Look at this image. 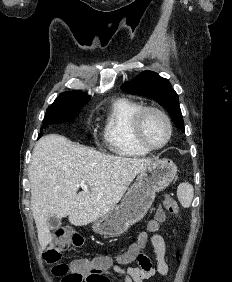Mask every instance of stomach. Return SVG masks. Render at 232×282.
I'll return each mask as SVG.
<instances>
[{"instance_id": "1", "label": "stomach", "mask_w": 232, "mask_h": 282, "mask_svg": "<svg viewBox=\"0 0 232 282\" xmlns=\"http://www.w3.org/2000/svg\"><path fill=\"white\" fill-rule=\"evenodd\" d=\"M176 173L177 166L173 161L166 158L153 160L140 171L121 203L93 222L92 230L108 237L124 233L145 216L156 193L168 187Z\"/></svg>"}]
</instances>
